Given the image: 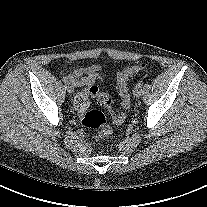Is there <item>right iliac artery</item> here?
Instances as JSON below:
<instances>
[{
	"label": "right iliac artery",
	"instance_id": "1",
	"mask_svg": "<svg viewBox=\"0 0 207 207\" xmlns=\"http://www.w3.org/2000/svg\"><path fill=\"white\" fill-rule=\"evenodd\" d=\"M62 80H63L64 83H68V78L67 77H63Z\"/></svg>",
	"mask_w": 207,
	"mask_h": 207
}]
</instances>
